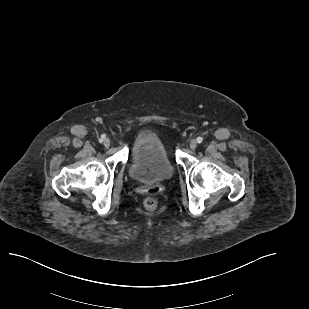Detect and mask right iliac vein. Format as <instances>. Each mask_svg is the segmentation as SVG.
<instances>
[{
	"label": "right iliac vein",
	"instance_id": "1",
	"mask_svg": "<svg viewBox=\"0 0 309 309\" xmlns=\"http://www.w3.org/2000/svg\"><path fill=\"white\" fill-rule=\"evenodd\" d=\"M103 145H104L106 148H108V147L110 146V140H109L108 138H105V139L103 140Z\"/></svg>",
	"mask_w": 309,
	"mask_h": 309
}]
</instances>
